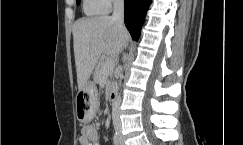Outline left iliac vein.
<instances>
[{
    "instance_id": "4c4485c4",
    "label": "left iliac vein",
    "mask_w": 243,
    "mask_h": 145,
    "mask_svg": "<svg viewBox=\"0 0 243 145\" xmlns=\"http://www.w3.org/2000/svg\"><path fill=\"white\" fill-rule=\"evenodd\" d=\"M119 140H120V145H125V142L121 134H119Z\"/></svg>"
}]
</instances>
